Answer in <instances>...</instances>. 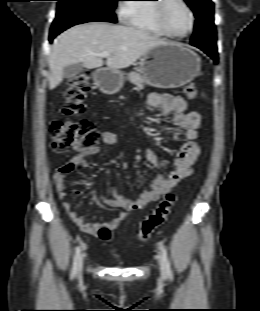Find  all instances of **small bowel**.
I'll list each match as a JSON object with an SVG mask.
<instances>
[{
	"label": "small bowel",
	"mask_w": 260,
	"mask_h": 311,
	"mask_svg": "<svg viewBox=\"0 0 260 311\" xmlns=\"http://www.w3.org/2000/svg\"><path fill=\"white\" fill-rule=\"evenodd\" d=\"M148 107L151 111H157L162 117H171L174 126L185 130V142L182 144L175 162V168L168 175L157 174L150 188L140 193L139 197L131 200L118 194L114 190L113 198H102V202L110 207L121 208L122 210L109 222L101 225L87 222L72 207V204L66 201L68 194L66 192V179L75 169L90 168V163L86 160L88 155H97L101 149L97 145L86 150H76L77 154L66 163L58 166L53 174V182L62 207L68 214L71 221L83 232L96 234L100 226H106L111 231L115 230L123 221H125L132 211L138 210L147 204L156 201L160 196L168 193L177 183L190 175L191 168L200 154L198 143L200 126V115L197 112L187 109L186 101L179 96L169 94L151 93L147 99ZM101 140L107 145H118L120 139L117 134L111 131H104L101 134ZM147 160L158 166L156 154L145 149Z\"/></svg>",
	"instance_id": "1"
}]
</instances>
